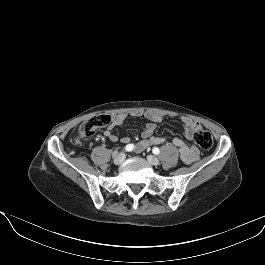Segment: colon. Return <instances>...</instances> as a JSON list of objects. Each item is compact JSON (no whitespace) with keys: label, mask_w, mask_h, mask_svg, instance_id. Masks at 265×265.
Returning <instances> with one entry per match:
<instances>
[{"label":"colon","mask_w":265,"mask_h":265,"mask_svg":"<svg viewBox=\"0 0 265 265\" xmlns=\"http://www.w3.org/2000/svg\"><path fill=\"white\" fill-rule=\"evenodd\" d=\"M111 122V117L107 114L96 115L81 126L80 132L84 137H92L95 132L105 127ZM195 142L204 150H208L213 145L212 135L209 131L206 130H197L194 134Z\"/></svg>","instance_id":"5ec220e1"}]
</instances>
